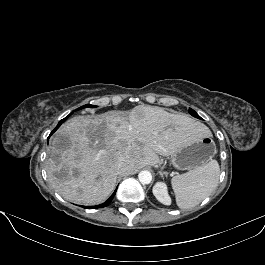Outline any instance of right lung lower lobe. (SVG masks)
Masks as SVG:
<instances>
[{"mask_svg": "<svg viewBox=\"0 0 265 265\" xmlns=\"http://www.w3.org/2000/svg\"><path fill=\"white\" fill-rule=\"evenodd\" d=\"M61 125V123L60 124H58L57 125V127L51 132V134L53 133V132H55L57 129H58V127ZM50 134V135H51ZM50 137V136H49ZM117 190V189H116ZM116 190L114 191V193L111 195V197L106 201V202H104V203H102V204H100V205H96V206H82V207H84V208H88V209H96V208H101V207H106L107 205H109L110 204V202L112 201V199H113V197L115 196V193H116Z\"/></svg>", "mask_w": 265, "mask_h": 265, "instance_id": "1", "label": "right lung lower lobe"}]
</instances>
